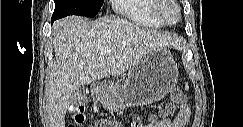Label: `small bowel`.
<instances>
[{
	"label": "small bowel",
	"instance_id": "c3829d8e",
	"mask_svg": "<svg viewBox=\"0 0 243 127\" xmlns=\"http://www.w3.org/2000/svg\"><path fill=\"white\" fill-rule=\"evenodd\" d=\"M190 107L187 103H182L179 105V110L177 116L171 120L167 114H163L160 117L151 116L148 119L146 127H184L190 118ZM94 127H121L117 122L99 120L95 122Z\"/></svg>",
	"mask_w": 243,
	"mask_h": 127
}]
</instances>
